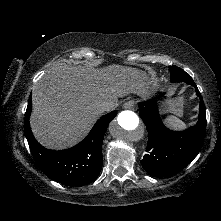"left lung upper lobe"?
I'll list each match as a JSON object with an SVG mask.
<instances>
[{"mask_svg":"<svg viewBox=\"0 0 221 221\" xmlns=\"http://www.w3.org/2000/svg\"><path fill=\"white\" fill-rule=\"evenodd\" d=\"M169 69L171 71V82H188V80L192 79L188 73L177 66H169Z\"/></svg>","mask_w":221,"mask_h":221,"instance_id":"5c2ea615","label":"left lung upper lobe"}]
</instances>
